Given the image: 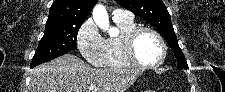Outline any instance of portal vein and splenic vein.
<instances>
[{
	"label": "portal vein and splenic vein",
	"instance_id": "portal-vein-and-splenic-vein-1",
	"mask_svg": "<svg viewBox=\"0 0 225 92\" xmlns=\"http://www.w3.org/2000/svg\"><path fill=\"white\" fill-rule=\"evenodd\" d=\"M95 89H96V85H94V84H91L89 87H88V91L90 92V91H95Z\"/></svg>",
	"mask_w": 225,
	"mask_h": 92
}]
</instances>
